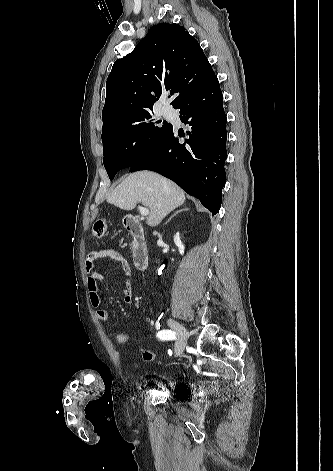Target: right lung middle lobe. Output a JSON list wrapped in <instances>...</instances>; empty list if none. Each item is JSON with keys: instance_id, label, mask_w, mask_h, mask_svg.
<instances>
[{"instance_id": "right-lung-middle-lobe-1", "label": "right lung middle lobe", "mask_w": 333, "mask_h": 471, "mask_svg": "<svg viewBox=\"0 0 333 471\" xmlns=\"http://www.w3.org/2000/svg\"><path fill=\"white\" fill-rule=\"evenodd\" d=\"M172 125L156 120L151 110L117 122L102 132L104 167L112 180L116 173L131 167L148 154Z\"/></svg>"}]
</instances>
